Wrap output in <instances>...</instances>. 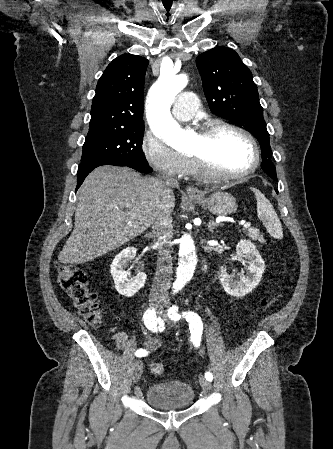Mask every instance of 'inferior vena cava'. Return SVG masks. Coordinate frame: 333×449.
<instances>
[{
    "label": "inferior vena cava",
    "instance_id": "602c4592",
    "mask_svg": "<svg viewBox=\"0 0 333 449\" xmlns=\"http://www.w3.org/2000/svg\"><path fill=\"white\" fill-rule=\"evenodd\" d=\"M166 183L169 185H177V182L169 177H166ZM151 224L158 246L156 277L150 295L151 302H154L161 296L168 294L172 274L170 244L173 238V226L171 211L167 205H159L153 214Z\"/></svg>",
    "mask_w": 333,
    "mask_h": 449
}]
</instances>
